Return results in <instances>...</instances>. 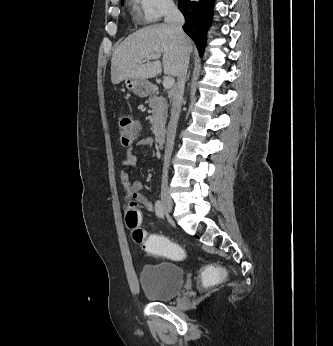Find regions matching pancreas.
Instances as JSON below:
<instances>
[{"instance_id": "obj_1", "label": "pancreas", "mask_w": 333, "mask_h": 346, "mask_svg": "<svg viewBox=\"0 0 333 346\" xmlns=\"http://www.w3.org/2000/svg\"><path fill=\"white\" fill-rule=\"evenodd\" d=\"M149 105L152 108V116L150 117L151 130L156 134L165 125L168 104L164 97L151 95L149 98Z\"/></svg>"}]
</instances>
